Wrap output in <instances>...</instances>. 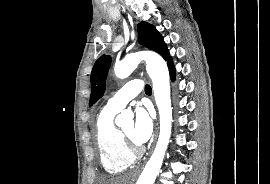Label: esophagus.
<instances>
[{
  "label": "esophagus",
  "mask_w": 270,
  "mask_h": 184,
  "mask_svg": "<svg viewBox=\"0 0 270 184\" xmlns=\"http://www.w3.org/2000/svg\"><path fill=\"white\" fill-rule=\"evenodd\" d=\"M157 135H158V122L156 123V128H155V142H156V139H157Z\"/></svg>",
  "instance_id": "34e87169"
}]
</instances>
